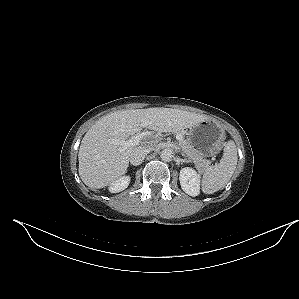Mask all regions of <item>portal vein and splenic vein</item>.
Listing matches in <instances>:
<instances>
[{"label": "portal vein and splenic vein", "instance_id": "obj_1", "mask_svg": "<svg viewBox=\"0 0 299 299\" xmlns=\"http://www.w3.org/2000/svg\"><path fill=\"white\" fill-rule=\"evenodd\" d=\"M147 135H148L147 132H143V133L137 134L135 136H132L128 140L109 139L108 141L111 144L118 145L119 146L118 151L122 152V151L126 150L129 147L139 145L141 140H143V138L146 137ZM176 139L179 140V141L183 140V136L180 135V134H177ZM207 162L210 163V161H207Z\"/></svg>", "mask_w": 299, "mask_h": 299}]
</instances>
